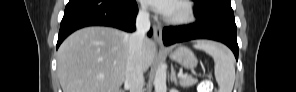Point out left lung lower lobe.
<instances>
[{
	"label": "left lung lower lobe",
	"mask_w": 296,
	"mask_h": 92,
	"mask_svg": "<svg viewBox=\"0 0 296 92\" xmlns=\"http://www.w3.org/2000/svg\"><path fill=\"white\" fill-rule=\"evenodd\" d=\"M197 21L193 24L166 27L163 30V42L171 45L193 39H211L226 44L238 60L237 27L233 10H217L208 21H203L197 12Z\"/></svg>",
	"instance_id": "0a47b994"
}]
</instances>
